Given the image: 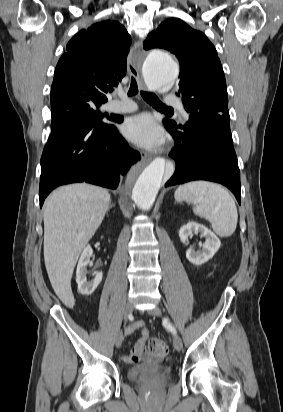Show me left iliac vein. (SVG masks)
<instances>
[{
  "label": "left iliac vein",
  "mask_w": 283,
  "mask_h": 412,
  "mask_svg": "<svg viewBox=\"0 0 283 412\" xmlns=\"http://www.w3.org/2000/svg\"><path fill=\"white\" fill-rule=\"evenodd\" d=\"M148 313H149L150 315L156 316V317H159V316L162 315L161 309H160L159 307H157V306L154 307V308H152V309H150V310L148 311ZM173 345H174V347H175V349H176L177 351H181V349H182V347H183L181 338H180L178 335H176V334H174V336H173Z\"/></svg>",
  "instance_id": "left-iliac-vein-1"
}]
</instances>
